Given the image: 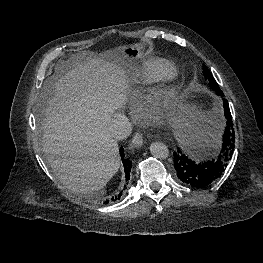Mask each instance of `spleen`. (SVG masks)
I'll list each match as a JSON object with an SVG mask.
<instances>
[{
  "label": "spleen",
  "instance_id": "obj_1",
  "mask_svg": "<svg viewBox=\"0 0 263 263\" xmlns=\"http://www.w3.org/2000/svg\"><path fill=\"white\" fill-rule=\"evenodd\" d=\"M176 127L182 143L190 148L211 147L219 142L220 125L216 122L210 125L186 123Z\"/></svg>",
  "mask_w": 263,
  "mask_h": 263
}]
</instances>
